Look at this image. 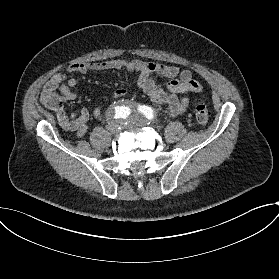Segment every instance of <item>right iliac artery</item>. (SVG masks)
I'll list each match as a JSON object with an SVG mask.
<instances>
[{
    "label": "right iliac artery",
    "mask_w": 279,
    "mask_h": 279,
    "mask_svg": "<svg viewBox=\"0 0 279 279\" xmlns=\"http://www.w3.org/2000/svg\"><path fill=\"white\" fill-rule=\"evenodd\" d=\"M129 115V110L125 106L114 107L110 111V116L114 120L125 119Z\"/></svg>",
    "instance_id": "82829eb1"
}]
</instances>
